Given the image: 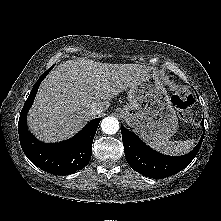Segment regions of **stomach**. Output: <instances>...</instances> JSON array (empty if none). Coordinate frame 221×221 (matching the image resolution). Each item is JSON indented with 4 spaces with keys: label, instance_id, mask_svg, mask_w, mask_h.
Segmentation results:
<instances>
[{
    "label": "stomach",
    "instance_id": "0dacf381",
    "mask_svg": "<svg viewBox=\"0 0 221 221\" xmlns=\"http://www.w3.org/2000/svg\"><path fill=\"white\" fill-rule=\"evenodd\" d=\"M127 100L120 114L144 140L167 141L176 133L178 118L156 69L128 88Z\"/></svg>",
    "mask_w": 221,
    "mask_h": 221
}]
</instances>
